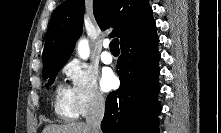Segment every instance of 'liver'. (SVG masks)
Returning a JSON list of instances; mask_svg holds the SVG:
<instances>
[{"label":"liver","instance_id":"6515ba94","mask_svg":"<svg viewBox=\"0 0 221 133\" xmlns=\"http://www.w3.org/2000/svg\"><path fill=\"white\" fill-rule=\"evenodd\" d=\"M42 133H91L85 123H69L65 125H47Z\"/></svg>","mask_w":221,"mask_h":133}]
</instances>
